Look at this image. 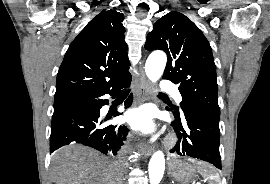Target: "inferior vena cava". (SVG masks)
Masks as SVG:
<instances>
[{"label":"inferior vena cava","instance_id":"1","mask_svg":"<svg viewBox=\"0 0 270 184\" xmlns=\"http://www.w3.org/2000/svg\"><path fill=\"white\" fill-rule=\"evenodd\" d=\"M128 149L129 148L126 146L124 148H122V150L119 152V158L115 162L119 173L124 169V158L126 157V155L128 153Z\"/></svg>","mask_w":270,"mask_h":184}]
</instances>
